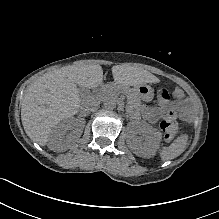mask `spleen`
I'll return each mask as SVG.
<instances>
[{
	"mask_svg": "<svg viewBox=\"0 0 219 219\" xmlns=\"http://www.w3.org/2000/svg\"><path fill=\"white\" fill-rule=\"evenodd\" d=\"M187 141V134H182L177 137L169 147H163L162 151L160 152L161 159L163 161L172 160L181 155L186 149Z\"/></svg>",
	"mask_w": 219,
	"mask_h": 219,
	"instance_id": "3e777b00",
	"label": "spleen"
}]
</instances>
